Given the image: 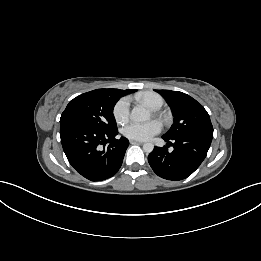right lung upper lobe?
Masks as SVG:
<instances>
[{"label": "right lung upper lobe", "mask_w": 261, "mask_h": 261, "mask_svg": "<svg viewBox=\"0 0 261 261\" xmlns=\"http://www.w3.org/2000/svg\"><path fill=\"white\" fill-rule=\"evenodd\" d=\"M116 90H117V92H118L119 94H121L122 96L127 95V94H129V93L135 91V89H127V90H119V89H116Z\"/></svg>", "instance_id": "obj_1"}]
</instances>
